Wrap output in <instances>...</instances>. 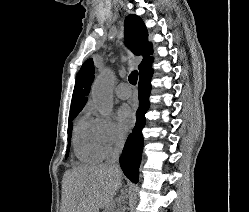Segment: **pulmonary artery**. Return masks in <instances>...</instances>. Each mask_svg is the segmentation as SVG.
Returning a JSON list of instances; mask_svg holds the SVG:
<instances>
[{"instance_id": "obj_1", "label": "pulmonary artery", "mask_w": 249, "mask_h": 212, "mask_svg": "<svg viewBox=\"0 0 249 212\" xmlns=\"http://www.w3.org/2000/svg\"><path fill=\"white\" fill-rule=\"evenodd\" d=\"M116 95L120 99H128L131 96V88L130 85L126 82H121L116 87Z\"/></svg>"}]
</instances>
